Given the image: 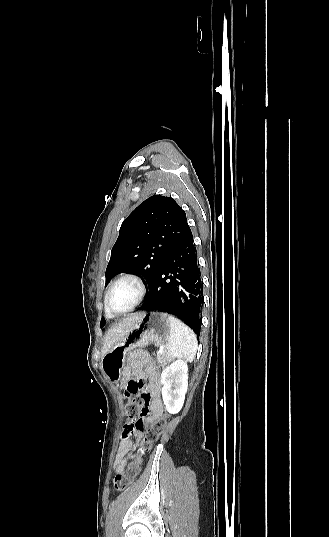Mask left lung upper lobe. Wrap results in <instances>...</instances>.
Masks as SVG:
<instances>
[{
    "label": "left lung upper lobe",
    "mask_w": 329,
    "mask_h": 537,
    "mask_svg": "<svg viewBox=\"0 0 329 537\" xmlns=\"http://www.w3.org/2000/svg\"><path fill=\"white\" fill-rule=\"evenodd\" d=\"M190 231L185 211L173 198L149 197L121 225L106 269V285L113 276L129 272L140 274L150 288L161 263Z\"/></svg>",
    "instance_id": "obj_1"
}]
</instances>
